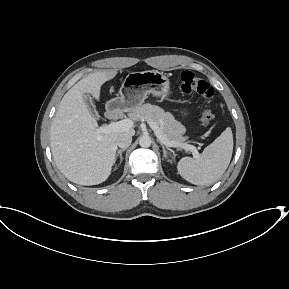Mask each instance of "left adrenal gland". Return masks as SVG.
<instances>
[{
    "instance_id": "a2214340",
    "label": "left adrenal gland",
    "mask_w": 289,
    "mask_h": 289,
    "mask_svg": "<svg viewBox=\"0 0 289 289\" xmlns=\"http://www.w3.org/2000/svg\"><path fill=\"white\" fill-rule=\"evenodd\" d=\"M157 141L160 143V145H161V147H162L164 158H167V152H166L165 145L163 144V142H162L161 140L158 139ZM169 161H170V160H169Z\"/></svg>"
}]
</instances>
